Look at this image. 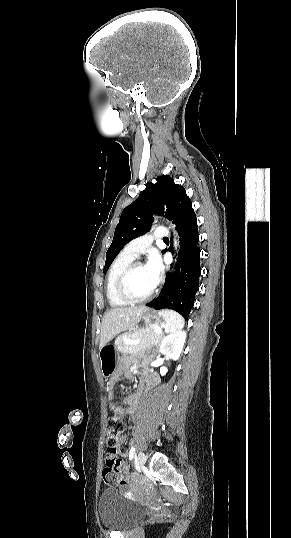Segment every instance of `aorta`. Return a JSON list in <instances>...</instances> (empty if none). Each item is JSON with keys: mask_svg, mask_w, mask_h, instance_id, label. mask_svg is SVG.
Here are the masks:
<instances>
[{"mask_svg": "<svg viewBox=\"0 0 291 538\" xmlns=\"http://www.w3.org/2000/svg\"><path fill=\"white\" fill-rule=\"evenodd\" d=\"M177 246H178V242L175 240V247H177Z\"/></svg>", "mask_w": 291, "mask_h": 538, "instance_id": "obj_1", "label": "aorta"}]
</instances>
